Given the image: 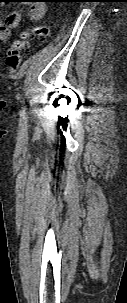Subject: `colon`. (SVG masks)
I'll list each match as a JSON object with an SVG mask.
<instances>
[{
	"instance_id": "colon-1",
	"label": "colon",
	"mask_w": 127,
	"mask_h": 303,
	"mask_svg": "<svg viewBox=\"0 0 127 303\" xmlns=\"http://www.w3.org/2000/svg\"><path fill=\"white\" fill-rule=\"evenodd\" d=\"M51 26L49 24H44L36 27H31L25 30L21 37L13 42L9 47L6 54V66L9 73H14L21 64L22 61V51L29 47L27 39L30 37H37L44 39L50 34Z\"/></svg>"
}]
</instances>
